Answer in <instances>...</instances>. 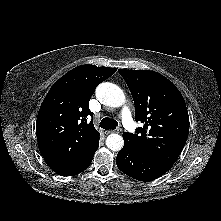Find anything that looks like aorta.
<instances>
[{
    "label": "aorta",
    "instance_id": "1",
    "mask_svg": "<svg viewBox=\"0 0 221 221\" xmlns=\"http://www.w3.org/2000/svg\"><path fill=\"white\" fill-rule=\"evenodd\" d=\"M97 99L109 107H120L125 102V95L117 85L104 82L96 89ZM124 145V140L119 134H110L106 139V146L112 151H120Z\"/></svg>",
    "mask_w": 221,
    "mask_h": 221
}]
</instances>
